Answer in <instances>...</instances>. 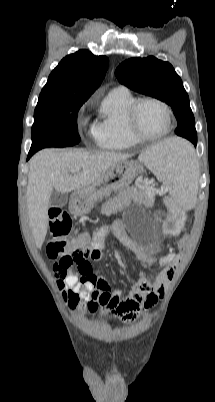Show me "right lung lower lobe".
Listing matches in <instances>:
<instances>
[{
    "mask_svg": "<svg viewBox=\"0 0 215 402\" xmlns=\"http://www.w3.org/2000/svg\"><path fill=\"white\" fill-rule=\"evenodd\" d=\"M32 155H33L32 153H29L27 159H29Z\"/></svg>",
    "mask_w": 215,
    "mask_h": 402,
    "instance_id": "right-lung-lower-lobe-1",
    "label": "right lung lower lobe"
}]
</instances>
